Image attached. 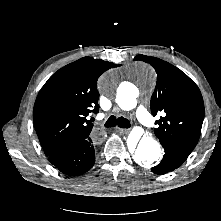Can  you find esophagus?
<instances>
[{
    "mask_svg": "<svg viewBox=\"0 0 221 221\" xmlns=\"http://www.w3.org/2000/svg\"><path fill=\"white\" fill-rule=\"evenodd\" d=\"M117 130L122 132V133H128L129 132L128 129H123V128H117Z\"/></svg>",
    "mask_w": 221,
    "mask_h": 221,
    "instance_id": "34e87169",
    "label": "esophagus"
}]
</instances>
